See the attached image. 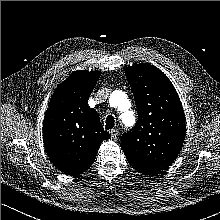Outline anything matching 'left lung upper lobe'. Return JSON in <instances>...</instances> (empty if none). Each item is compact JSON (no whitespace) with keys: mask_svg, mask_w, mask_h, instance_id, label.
I'll return each mask as SVG.
<instances>
[{"mask_svg":"<svg viewBox=\"0 0 220 220\" xmlns=\"http://www.w3.org/2000/svg\"><path fill=\"white\" fill-rule=\"evenodd\" d=\"M133 91L138 121L121 139L130 165L156 176L177 158L185 138V117L179 96L167 76L153 65L125 69Z\"/></svg>","mask_w":220,"mask_h":220,"instance_id":"obj_1","label":"left lung upper lobe"}]
</instances>
